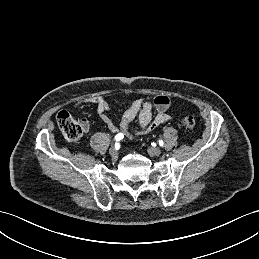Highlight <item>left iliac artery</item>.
I'll return each mask as SVG.
<instances>
[{
	"instance_id": "left-iliac-artery-1",
	"label": "left iliac artery",
	"mask_w": 259,
	"mask_h": 259,
	"mask_svg": "<svg viewBox=\"0 0 259 259\" xmlns=\"http://www.w3.org/2000/svg\"><path fill=\"white\" fill-rule=\"evenodd\" d=\"M159 145H160V146H163V145H164V143H163L162 140L159 141Z\"/></svg>"
}]
</instances>
